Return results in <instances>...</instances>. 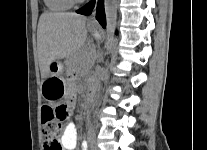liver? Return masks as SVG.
Here are the masks:
<instances>
[{"instance_id": "1", "label": "liver", "mask_w": 207, "mask_h": 150, "mask_svg": "<svg viewBox=\"0 0 207 150\" xmlns=\"http://www.w3.org/2000/svg\"><path fill=\"white\" fill-rule=\"evenodd\" d=\"M86 18L74 13L45 12L37 30L39 66L42 79L48 77L53 61L68 58L84 49Z\"/></svg>"}]
</instances>
